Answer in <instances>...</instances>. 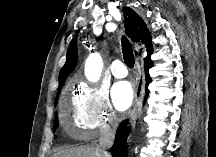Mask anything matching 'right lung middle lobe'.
<instances>
[{
    "label": "right lung middle lobe",
    "mask_w": 216,
    "mask_h": 157,
    "mask_svg": "<svg viewBox=\"0 0 216 157\" xmlns=\"http://www.w3.org/2000/svg\"><path fill=\"white\" fill-rule=\"evenodd\" d=\"M57 102H58V97L56 98L55 105L57 104ZM54 124H55V128H56L58 126V118H57V116L55 117Z\"/></svg>",
    "instance_id": "1"
}]
</instances>
